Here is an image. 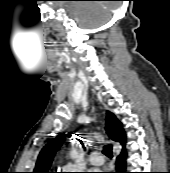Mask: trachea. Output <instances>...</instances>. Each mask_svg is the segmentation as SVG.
Listing matches in <instances>:
<instances>
[{
  "mask_svg": "<svg viewBox=\"0 0 170 173\" xmlns=\"http://www.w3.org/2000/svg\"><path fill=\"white\" fill-rule=\"evenodd\" d=\"M103 154L106 155L107 157L109 158H112L113 157V154H112V146L111 145H107L103 148Z\"/></svg>",
  "mask_w": 170,
  "mask_h": 173,
  "instance_id": "1",
  "label": "trachea"
}]
</instances>
